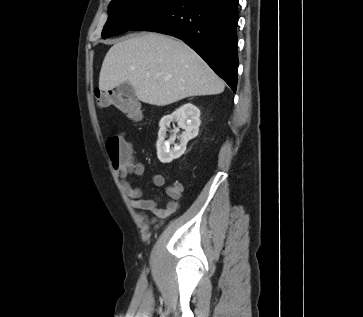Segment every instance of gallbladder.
Wrapping results in <instances>:
<instances>
[{
	"mask_svg": "<svg viewBox=\"0 0 363 317\" xmlns=\"http://www.w3.org/2000/svg\"><path fill=\"white\" fill-rule=\"evenodd\" d=\"M117 92L126 97V98H134L135 97V91L132 85L129 82H124L117 86Z\"/></svg>",
	"mask_w": 363,
	"mask_h": 317,
	"instance_id": "1",
	"label": "gallbladder"
}]
</instances>
